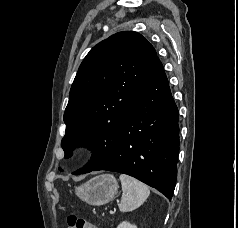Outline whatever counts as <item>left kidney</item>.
<instances>
[{
  "label": "left kidney",
  "instance_id": "5707ae66",
  "mask_svg": "<svg viewBox=\"0 0 238 228\" xmlns=\"http://www.w3.org/2000/svg\"><path fill=\"white\" fill-rule=\"evenodd\" d=\"M117 228H137L136 225L130 224L127 221H123L122 223H120Z\"/></svg>",
  "mask_w": 238,
  "mask_h": 228
}]
</instances>
